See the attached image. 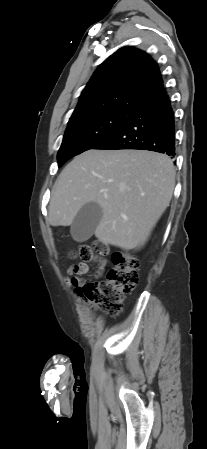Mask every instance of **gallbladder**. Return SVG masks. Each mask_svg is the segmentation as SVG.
<instances>
[{
  "label": "gallbladder",
  "instance_id": "gallbladder-1",
  "mask_svg": "<svg viewBox=\"0 0 207 449\" xmlns=\"http://www.w3.org/2000/svg\"><path fill=\"white\" fill-rule=\"evenodd\" d=\"M103 216V210L95 202L82 206L71 225L72 238L77 242L87 241L94 233Z\"/></svg>",
  "mask_w": 207,
  "mask_h": 449
}]
</instances>
